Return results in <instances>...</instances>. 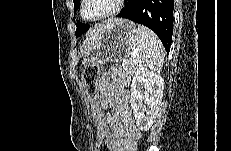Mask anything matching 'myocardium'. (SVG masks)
<instances>
[{
	"label": "myocardium",
	"mask_w": 231,
	"mask_h": 151,
	"mask_svg": "<svg viewBox=\"0 0 231 151\" xmlns=\"http://www.w3.org/2000/svg\"><path fill=\"white\" fill-rule=\"evenodd\" d=\"M88 2H89V0H82L81 1L80 15L86 21L98 22V21L105 20V19L112 17L115 14H117L124 1L123 0H111L109 10H107L106 12H104L102 14L95 15V16H87L86 15L85 9H86V6L88 5Z\"/></svg>",
	"instance_id": "f54148a6"
}]
</instances>
